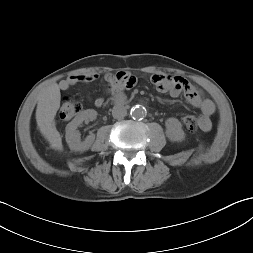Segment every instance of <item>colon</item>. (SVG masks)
Masks as SVG:
<instances>
[{
    "label": "colon",
    "mask_w": 253,
    "mask_h": 253,
    "mask_svg": "<svg viewBox=\"0 0 253 253\" xmlns=\"http://www.w3.org/2000/svg\"><path fill=\"white\" fill-rule=\"evenodd\" d=\"M81 110V104L69 97H64L60 108L59 116L63 121H69L75 117ZM181 122L190 132H196L200 128V119L194 115L183 114Z\"/></svg>",
    "instance_id": "1"
}]
</instances>
